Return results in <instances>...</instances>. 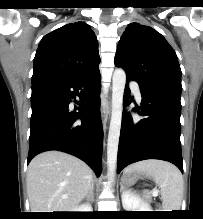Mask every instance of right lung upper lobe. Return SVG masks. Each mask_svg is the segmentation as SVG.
<instances>
[{"label":"right lung upper lobe","mask_w":203,"mask_h":219,"mask_svg":"<svg viewBox=\"0 0 203 219\" xmlns=\"http://www.w3.org/2000/svg\"><path fill=\"white\" fill-rule=\"evenodd\" d=\"M97 38L84 22L45 35L36 51L32 82L52 77L85 76L99 69Z\"/></svg>","instance_id":"1"}]
</instances>
